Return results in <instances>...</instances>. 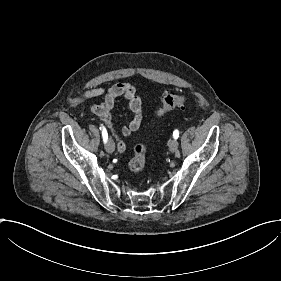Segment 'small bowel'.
<instances>
[{
  "mask_svg": "<svg viewBox=\"0 0 281 281\" xmlns=\"http://www.w3.org/2000/svg\"><path fill=\"white\" fill-rule=\"evenodd\" d=\"M102 95H105L104 101L100 104L89 106V111L99 117L109 127L112 136L117 141V149L124 151L126 149V143L119 137L112 126L111 109L117 99L122 98L126 101L127 108L133 116L130 123L122 128L121 133L124 137H129L142 124L143 110L141 97L135 87L129 83L121 82L112 85L108 90H105L101 86L87 90L83 94V99L90 100Z\"/></svg>",
  "mask_w": 281,
  "mask_h": 281,
  "instance_id": "1",
  "label": "small bowel"
}]
</instances>
